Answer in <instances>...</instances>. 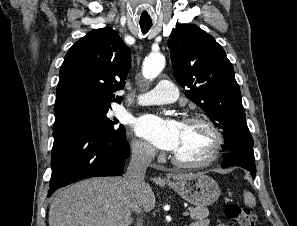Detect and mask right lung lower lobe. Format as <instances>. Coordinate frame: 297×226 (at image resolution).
<instances>
[{"mask_svg":"<svg viewBox=\"0 0 297 226\" xmlns=\"http://www.w3.org/2000/svg\"><path fill=\"white\" fill-rule=\"evenodd\" d=\"M53 136L48 197L84 178L121 175L130 156L126 136L112 137L71 123L54 124Z\"/></svg>","mask_w":297,"mask_h":226,"instance_id":"98d812e1","label":"right lung lower lobe"}]
</instances>
